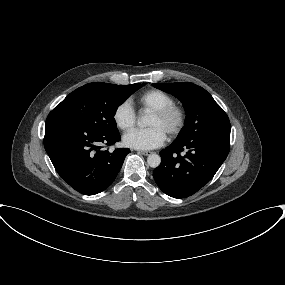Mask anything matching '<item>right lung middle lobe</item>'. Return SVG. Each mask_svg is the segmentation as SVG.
I'll return each instance as SVG.
<instances>
[{"mask_svg": "<svg viewBox=\"0 0 285 285\" xmlns=\"http://www.w3.org/2000/svg\"><path fill=\"white\" fill-rule=\"evenodd\" d=\"M140 87L141 84L89 83L71 92L51 113L69 116L98 132H115L118 106Z\"/></svg>", "mask_w": 285, "mask_h": 285, "instance_id": "right-lung-middle-lobe-1", "label": "right lung middle lobe"}]
</instances>
